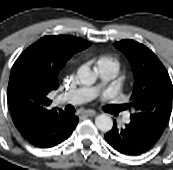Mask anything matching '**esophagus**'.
Returning <instances> with one entry per match:
<instances>
[{"label":"esophagus","mask_w":173,"mask_h":170,"mask_svg":"<svg viewBox=\"0 0 173 170\" xmlns=\"http://www.w3.org/2000/svg\"><path fill=\"white\" fill-rule=\"evenodd\" d=\"M83 114L85 116L93 117V116H96L97 115V112L94 111V110H86Z\"/></svg>","instance_id":"1"}]
</instances>
